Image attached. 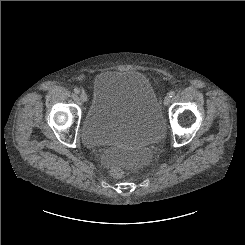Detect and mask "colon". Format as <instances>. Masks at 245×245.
I'll use <instances>...</instances> for the list:
<instances>
[{
  "label": "colon",
  "instance_id": "1",
  "mask_svg": "<svg viewBox=\"0 0 245 245\" xmlns=\"http://www.w3.org/2000/svg\"><path fill=\"white\" fill-rule=\"evenodd\" d=\"M112 173L116 177H122L124 175L125 171H124L123 167H121V166H115L112 169Z\"/></svg>",
  "mask_w": 245,
  "mask_h": 245
}]
</instances>
